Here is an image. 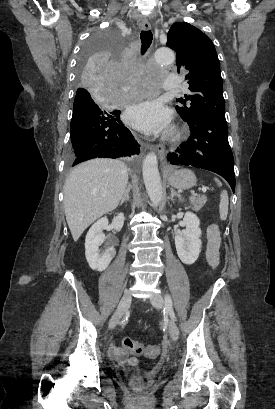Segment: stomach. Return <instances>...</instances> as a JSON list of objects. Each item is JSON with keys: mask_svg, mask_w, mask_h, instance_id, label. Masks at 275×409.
I'll use <instances>...</instances> for the list:
<instances>
[{"mask_svg": "<svg viewBox=\"0 0 275 409\" xmlns=\"http://www.w3.org/2000/svg\"><path fill=\"white\" fill-rule=\"evenodd\" d=\"M168 184L174 188H192L196 184V176L189 168H176L168 176Z\"/></svg>", "mask_w": 275, "mask_h": 409, "instance_id": "obj_1", "label": "stomach"}]
</instances>
